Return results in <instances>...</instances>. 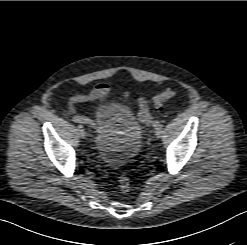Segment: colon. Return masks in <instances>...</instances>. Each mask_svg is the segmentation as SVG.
<instances>
[{"label":"colon","mask_w":247,"mask_h":245,"mask_svg":"<svg viewBox=\"0 0 247 245\" xmlns=\"http://www.w3.org/2000/svg\"><path fill=\"white\" fill-rule=\"evenodd\" d=\"M175 95V91L167 89L162 93L153 97V104L156 108H160L166 101ZM119 188L122 192H128L131 188L130 178L126 174H121L118 178Z\"/></svg>","instance_id":"1"}]
</instances>
